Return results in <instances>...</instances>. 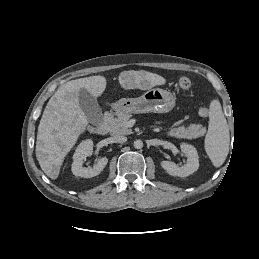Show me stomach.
Masks as SVG:
<instances>
[{"instance_id":"0dacf381","label":"stomach","mask_w":259,"mask_h":259,"mask_svg":"<svg viewBox=\"0 0 259 259\" xmlns=\"http://www.w3.org/2000/svg\"><path fill=\"white\" fill-rule=\"evenodd\" d=\"M175 107V96L161 88H150L137 98H122L112 105L117 115L168 113Z\"/></svg>"}]
</instances>
